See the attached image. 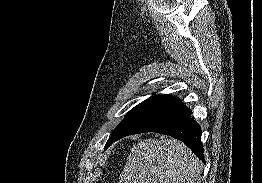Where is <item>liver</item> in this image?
Returning <instances> with one entry per match:
<instances>
[{"label":"liver","instance_id":"obj_1","mask_svg":"<svg viewBox=\"0 0 262 183\" xmlns=\"http://www.w3.org/2000/svg\"><path fill=\"white\" fill-rule=\"evenodd\" d=\"M201 167V162L182 142L173 138H151L133 146L121 182L194 183Z\"/></svg>","mask_w":262,"mask_h":183}]
</instances>
